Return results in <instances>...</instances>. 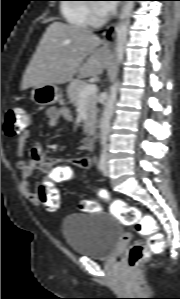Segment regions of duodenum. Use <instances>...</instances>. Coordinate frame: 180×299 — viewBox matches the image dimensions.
<instances>
[{"mask_svg": "<svg viewBox=\"0 0 180 299\" xmlns=\"http://www.w3.org/2000/svg\"><path fill=\"white\" fill-rule=\"evenodd\" d=\"M84 129L87 134L92 135L95 131V124L93 122L87 121L84 124Z\"/></svg>", "mask_w": 180, "mask_h": 299, "instance_id": "410a0bca", "label": "duodenum"}]
</instances>
